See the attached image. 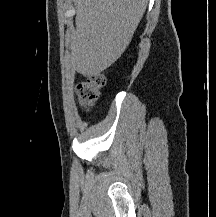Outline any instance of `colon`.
<instances>
[{
    "mask_svg": "<svg viewBox=\"0 0 216 217\" xmlns=\"http://www.w3.org/2000/svg\"><path fill=\"white\" fill-rule=\"evenodd\" d=\"M106 78L102 74H93L86 81L80 82L76 88L79 103L89 109L99 97V90L105 85Z\"/></svg>",
    "mask_w": 216,
    "mask_h": 217,
    "instance_id": "obj_1",
    "label": "colon"
}]
</instances>
